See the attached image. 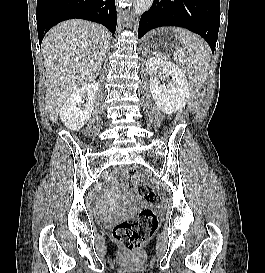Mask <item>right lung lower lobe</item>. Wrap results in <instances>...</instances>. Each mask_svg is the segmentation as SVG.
Segmentation results:
<instances>
[{"label":"right lung lower lobe","mask_w":265,"mask_h":273,"mask_svg":"<svg viewBox=\"0 0 265 273\" xmlns=\"http://www.w3.org/2000/svg\"><path fill=\"white\" fill-rule=\"evenodd\" d=\"M36 18L40 44L51 27L67 19L97 22L112 33L117 20L114 0H37Z\"/></svg>","instance_id":"98d812e1"}]
</instances>
